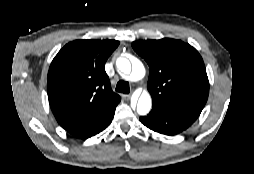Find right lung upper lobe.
Returning <instances> with one entry per match:
<instances>
[{
  "label": "right lung upper lobe",
  "mask_w": 254,
  "mask_h": 174,
  "mask_svg": "<svg viewBox=\"0 0 254 174\" xmlns=\"http://www.w3.org/2000/svg\"><path fill=\"white\" fill-rule=\"evenodd\" d=\"M118 45L116 40H76L66 44L53 59L47 93L63 128L120 102L104 69Z\"/></svg>",
  "instance_id": "right-lung-upper-lobe-1"
}]
</instances>
